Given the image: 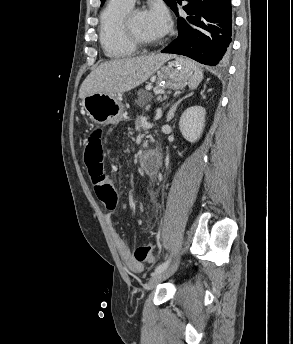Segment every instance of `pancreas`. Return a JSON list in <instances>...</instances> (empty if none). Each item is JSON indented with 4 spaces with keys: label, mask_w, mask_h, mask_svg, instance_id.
I'll return each instance as SVG.
<instances>
[{
    "label": "pancreas",
    "mask_w": 293,
    "mask_h": 344,
    "mask_svg": "<svg viewBox=\"0 0 293 344\" xmlns=\"http://www.w3.org/2000/svg\"><path fill=\"white\" fill-rule=\"evenodd\" d=\"M157 89V88H156ZM152 98V95L151 94H147V97H146V101L151 99ZM141 120H142V117H138L137 120H136V124L138 126H141Z\"/></svg>",
    "instance_id": "obj_1"
}]
</instances>
